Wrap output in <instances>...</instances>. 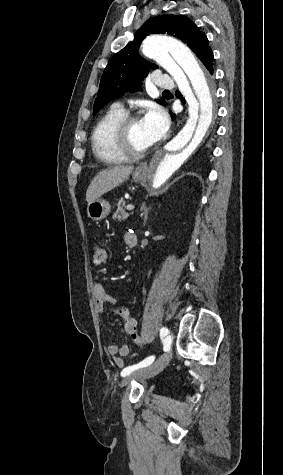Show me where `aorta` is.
<instances>
[{
    "label": "aorta",
    "mask_w": 283,
    "mask_h": 475,
    "mask_svg": "<svg viewBox=\"0 0 283 475\" xmlns=\"http://www.w3.org/2000/svg\"><path fill=\"white\" fill-rule=\"evenodd\" d=\"M142 53L171 74L188 103L189 113L184 127L149 164L144 187L152 194L167 186L204 141L215 118L214 85L191 51L177 39L152 35L143 41Z\"/></svg>",
    "instance_id": "aorta-1"
}]
</instances>
